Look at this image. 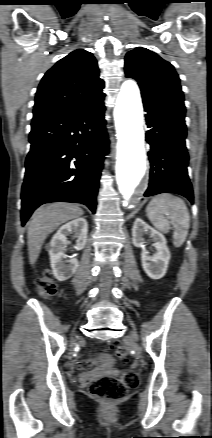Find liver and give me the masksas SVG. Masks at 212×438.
Instances as JSON below:
<instances>
[{
  "instance_id": "6515ba94",
  "label": "liver",
  "mask_w": 212,
  "mask_h": 438,
  "mask_svg": "<svg viewBox=\"0 0 212 438\" xmlns=\"http://www.w3.org/2000/svg\"><path fill=\"white\" fill-rule=\"evenodd\" d=\"M83 215V210L75 204L52 203L39 207L32 215L27 231L29 262L33 265L40 254L47 236L61 224Z\"/></svg>"
}]
</instances>
